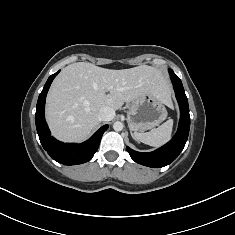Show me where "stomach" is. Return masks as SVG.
Instances as JSON below:
<instances>
[{
    "label": "stomach",
    "mask_w": 235,
    "mask_h": 235,
    "mask_svg": "<svg viewBox=\"0 0 235 235\" xmlns=\"http://www.w3.org/2000/svg\"><path fill=\"white\" fill-rule=\"evenodd\" d=\"M165 104L152 93H146L128 105L127 119L130 131L142 133L158 126L167 118Z\"/></svg>",
    "instance_id": "1"
}]
</instances>
